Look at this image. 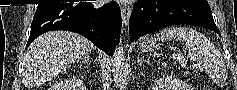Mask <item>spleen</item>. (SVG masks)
Returning <instances> with one entry per match:
<instances>
[{
  "mask_svg": "<svg viewBox=\"0 0 237 90\" xmlns=\"http://www.w3.org/2000/svg\"><path fill=\"white\" fill-rule=\"evenodd\" d=\"M173 42L179 40L188 50V56L191 60L201 62L204 68L209 66L211 54H216L214 44L207 40L203 34L192 30V28H164L155 38V42Z\"/></svg>",
  "mask_w": 237,
  "mask_h": 90,
  "instance_id": "1",
  "label": "spleen"
}]
</instances>
